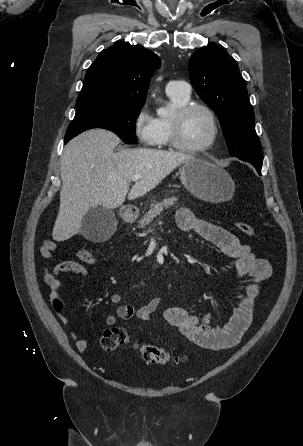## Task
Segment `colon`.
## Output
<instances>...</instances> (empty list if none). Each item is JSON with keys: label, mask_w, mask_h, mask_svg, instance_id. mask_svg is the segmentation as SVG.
<instances>
[{"label": "colon", "mask_w": 303, "mask_h": 446, "mask_svg": "<svg viewBox=\"0 0 303 446\" xmlns=\"http://www.w3.org/2000/svg\"><path fill=\"white\" fill-rule=\"evenodd\" d=\"M235 227L247 236H255L254 228L242 221L235 222ZM77 257L80 261L92 264L96 261L94 254L89 250H79ZM129 342V337L125 329L121 327H111L106 329L100 339V345L106 352L114 351L115 349L126 345ZM140 354L143 360L148 364H167L171 361H177L164 349L158 348L152 344H143L139 346Z\"/></svg>", "instance_id": "5ec220e1"}]
</instances>
